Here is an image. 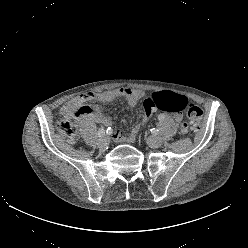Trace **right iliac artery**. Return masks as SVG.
Returning a JSON list of instances; mask_svg holds the SVG:
<instances>
[{
    "mask_svg": "<svg viewBox=\"0 0 248 248\" xmlns=\"http://www.w3.org/2000/svg\"><path fill=\"white\" fill-rule=\"evenodd\" d=\"M107 131H108V130H107ZM97 134H98L99 137H102L103 135H105V130H104V128H100Z\"/></svg>",
    "mask_w": 248,
    "mask_h": 248,
    "instance_id": "1",
    "label": "right iliac artery"
}]
</instances>
